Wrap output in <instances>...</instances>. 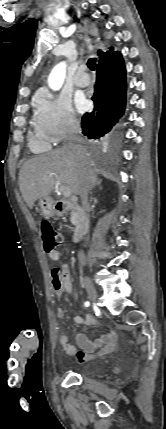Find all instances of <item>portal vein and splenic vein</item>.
<instances>
[{
    "label": "portal vein and splenic vein",
    "mask_w": 166,
    "mask_h": 429,
    "mask_svg": "<svg viewBox=\"0 0 166 429\" xmlns=\"http://www.w3.org/2000/svg\"><path fill=\"white\" fill-rule=\"evenodd\" d=\"M61 193L63 194L64 197H70L72 192L69 186H62L60 188Z\"/></svg>",
    "instance_id": "obj_1"
}]
</instances>
